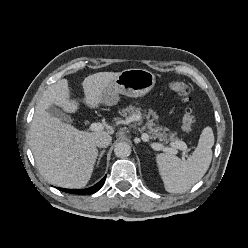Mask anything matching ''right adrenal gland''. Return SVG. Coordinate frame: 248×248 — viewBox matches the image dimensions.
I'll return each instance as SVG.
<instances>
[{
  "mask_svg": "<svg viewBox=\"0 0 248 248\" xmlns=\"http://www.w3.org/2000/svg\"><path fill=\"white\" fill-rule=\"evenodd\" d=\"M104 153H105V150H102L101 153L99 154V157H98V160H97V166L99 165L100 160H101V158H102Z\"/></svg>",
  "mask_w": 248,
  "mask_h": 248,
  "instance_id": "2a0ac1e0",
  "label": "right adrenal gland"
}]
</instances>
